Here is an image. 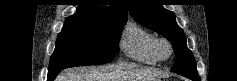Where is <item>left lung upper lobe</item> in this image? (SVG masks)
<instances>
[{
	"label": "left lung upper lobe",
	"instance_id": "5c2ea615",
	"mask_svg": "<svg viewBox=\"0 0 237 81\" xmlns=\"http://www.w3.org/2000/svg\"><path fill=\"white\" fill-rule=\"evenodd\" d=\"M129 2V12L137 22L171 41L176 56L171 71L200 80L195 58L187 48L185 34L177 25L174 13L164 9L158 0H130Z\"/></svg>",
	"mask_w": 237,
	"mask_h": 81
}]
</instances>
